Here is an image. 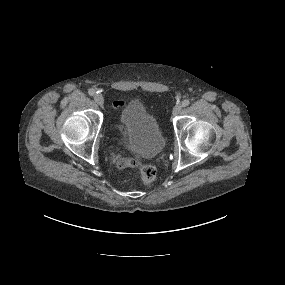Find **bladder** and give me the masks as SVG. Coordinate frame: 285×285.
I'll return each instance as SVG.
<instances>
[{
	"mask_svg": "<svg viewBox=\"0 0 285 285\" xmlns=\"http://www.w3.org/2000/svg\"><path fill=\"white\" fill-rule=\"evenodd\" d=\"M119 123L124 131L123 146L144 157L157 155L165 137L156 119L141 101H131L121 111Z\"/></svg>",
	"mask_w": 285,
	"mask_h": 285,
	"instance_id": "obj_1",
	"label": "bladder"
}]
</instances>
